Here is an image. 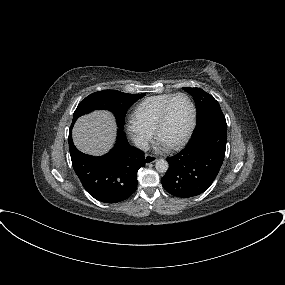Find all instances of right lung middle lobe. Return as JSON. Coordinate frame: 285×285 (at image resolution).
I'll list each match as a JSON object with an SVG mask.
<instances>
[{"instance_id": "dd1d6c3e", "label": "right lung middle lobe", "mask_w": 285, "mask_h": 285, "mask_svg": "<svg viewBox=\"0 0 285 285\" xmlns=\"http://www.w3.org/2000/svg\"><path fill=\"white\" fill-rule=\"evenodd\" d=\"M145 94H126L117 90H103L90 94L77 106L73 121L81 115L96 109L111 111L117 121L119 129H123L124 117L129 107Z\"/></svg>"}]
</instances>
